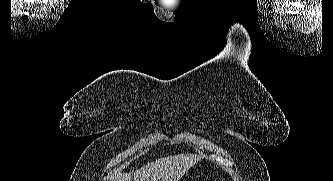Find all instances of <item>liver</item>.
<instances>
[{
  "label": "liver",
  "mask_w": 333,
  "mask_h": 181,
  "mask_svg": "<svg viewBox=\"0 0 333 181\" xmlns=\"http://www.w3.org/2000/svg\"><path fill=\"white\" fill-rule=\"evenodd\" d=\"M200 159V156L194 154L164 157L148 163L133 174H115L109 181H131L132 175L134 181H179Z\"/></svg>",
  "instance_id": "obj_1"
}]
</instances>
